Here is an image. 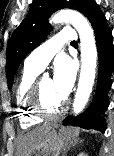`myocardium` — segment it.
Wrapping results in <instances>:
<instances>
[{
	"label": "myocardium",
	"instance_id": "obj_1",
	"mask_svg": "<svg viewBox=\"0 0 114 156\" xmlns=\"http://www.w3.org/2000/svg\"><path fill=\"white\" fill-rule=\"evenodd\" d=\"M41 81L42 78H37L30 91L29 105L32 111L41 118H56L61 116L67 109V101L64 100L56 110H49L44 103Z\"/></svg>",
	"mask_w": 114,
	"mask_h": 156
}]
</instances>
